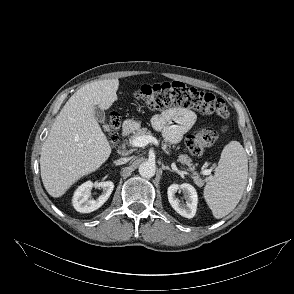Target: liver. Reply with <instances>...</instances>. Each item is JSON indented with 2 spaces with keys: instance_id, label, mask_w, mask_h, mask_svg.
Here are the masks:
<instances>
[{
  "instance_id": "liver-1",
  "label": "liver",
  "mask_w": 294,
  "mask_h": 294,
  "mask_svg": "<svg viewBox=\"0 0 294 294\" xmlns=\"http://www.w3.org/2000/svg\"><path fill=\"white\" fill-rule=\"evenodd\" d=\"M118 86V79L86 84L56 117L40 156L42 182L52 197L64 195L109 158L111 146L95 118V107L109 109L118 99Z\"/></svg>"
}]
</instances>
